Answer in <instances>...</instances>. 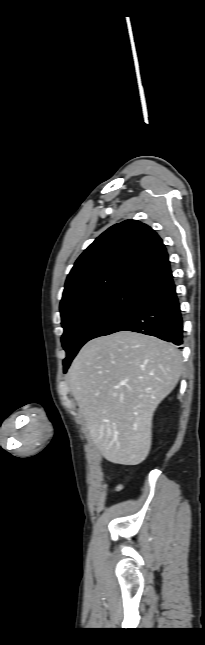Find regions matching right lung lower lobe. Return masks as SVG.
<instances>
[{
  "label": "right lung lower lobe",
  "mask_w": 205,
  "mask_h": 645,
  "mask_svg": "<svg viewBox=\"0 0 205 645\" xmlns=\"http://www.w3.org/2000/svg\"><path fill=\"white\" fill-rule=\"evenodd\" d=\"M119 331L183 343V321L171 270L147 284L139 301L101 336Z\"/></svg>",
  "instance_id": "1"
}]
</instances>
